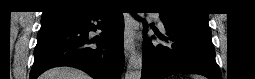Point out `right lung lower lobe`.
<instances>
[{
	"label": "right lung lower lobe",
	"instance_id": "obj_1",
	"mask_svg": "<svg viewBox=\"0 0 255 79\" xmlns=\"http://www.w3.org/2000/svg\"><path fill=\"white\" fill-rule=\"evenodd\" d=\"M96 29L103 33L88 37L89 31ZM123 34L121 12L94 10L42 23L30 79L56 66L76 67L95 79H119L124 62Z\"/></svg>",
	"mask_w": 255,
	"mask_h": 79
}]
</instances>
